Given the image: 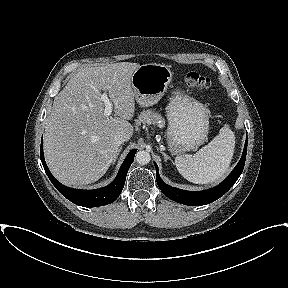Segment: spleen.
Masks as SVG:
<instances>
[{
    "instance_id": "1",
    "label": "spleen",
    "mask_w": 288,
    "mask_h": 288,
    "mask_svg": "<svg viewBox=\"0 0 288 288\" xmlns=\"http://www.w3.org/2000/svg\"><path fill=\"white\" fill-rule=\"evenodd\" d=\"M235 147V136L228 125L193 156H177L175 165L188 181L208 184L221 178L228 170Z\"/></svg>"
}]
</instances>
